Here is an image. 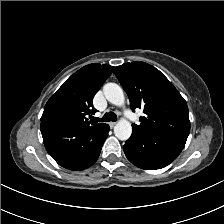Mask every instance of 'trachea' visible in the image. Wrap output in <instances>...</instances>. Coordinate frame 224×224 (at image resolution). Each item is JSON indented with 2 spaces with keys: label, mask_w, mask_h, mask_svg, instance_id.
<instances>
[{
  "label": "trachea",
  "mask_w": 224,
  "mask_h": 224,
  "mask_svg": "<svg viewBox=\"0 0 224 224\" xmlns=\"http://www.w3.org/2000/svg\"><path fill=\"white\" fill-rule=\"evenodd\" d=\"M90 119L92 122H109V121L115 122L117 121V116L114 112H109L105 113L102 119L97 117H91Z\"/></svg>",
  "instance_id": "obj_1"
}]
</instances>
